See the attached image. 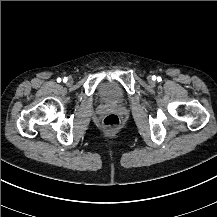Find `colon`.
I'll list each match as a JSON object with an SVG mask.
<instances>
[{
	"instance_id": "obj_1",
	"label": "colon",
	"mask_w": 217,
	"mask_h": 217,
	"mask_svg": "<svg viewBox=\"0 0 217 217\" xmlns=\"http://www.w3.org/2000/svg\"><path fill=\"white\" fill-rule=\"evenodd\" d=\"M120 125V120L119 117L114 114L110 113L105 116L104 118V126L110 130H115L119 127Z\"/></svg>"
}]
</instances>
